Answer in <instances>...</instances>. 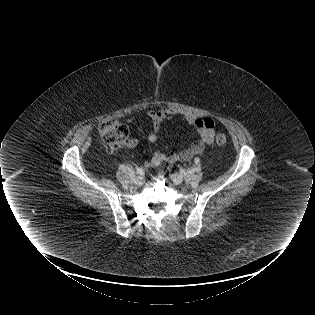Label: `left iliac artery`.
Instances as JSON below:
<instances>
[{
    "instance_id": "left-iliac-artery-1",
    "label": "left iliac artery",
    "mask_w": 315,
    "mask_h": 315,
    "mask_svg": "<svg viewBox=\"0 0 315 315\" xmlns=\"http://www.w3.org/2000/svg\"><path fill=\"white\" fill-rule=\"evenodd\" d=\"M194 161H195V163L197 164V163H199V162H200V159H199V158H195V160H194ZM181 173H185V172H184V170H181Z\"/></svg>"
}]
</instances>
